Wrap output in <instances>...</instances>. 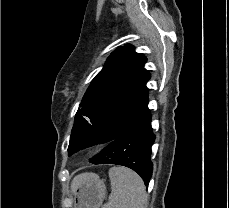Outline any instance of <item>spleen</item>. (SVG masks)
I'll return each instance as SVG.
<instances>
[{
    "label": "spleen",
    "instance_id": "1",
    "mask_svg": "<svg viewBox=\"0 0 229 208\" xmlns=\"http://www.w3.org/2000/svg\"><path fill=\"white\" fill-rule=\"evenodd\" d=\"M111 196L105 208H145L144 182L129 168H110Z\"/></svg>",
    "mask_w": 229,
    "mask_h": 208
}]
</instances>
